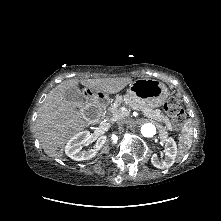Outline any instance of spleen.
Wrapping results in <instances>:
<instances>
[{
	"label": "spleen",
	"mask_w": 221,
	"mask_h": 221,
	"mask_svg": "<svg viewBox=\"0 0 221 221\" xmlns=\"http://www.w3.org/2000/svg\"><path fill=\"white\" fill-rule=\"evenodd\" d=\"M192 135H193L192 128L188 125H185L182 129V136L179 140V149H180L179 153L181 156H184L191 147Z\"/></svg>",
	"instance_id": "3e777b00"
}]
</instances>
